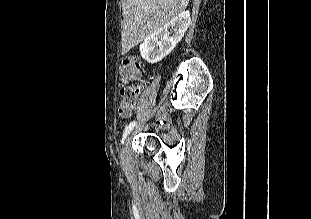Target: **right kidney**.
Returning a JSON list of instances; mask_svg holds the SVG:
<instances>
[{"label": "right kidney", "mask_w": 311, "mask_h": 219, "mask_svg": "<svg viewBox=\"0 0 311 219\" xmlns=\"http://www.w3.org/2000/svg\"><path fill=\"white\" fill-rule=\"evenodd\" d=\"M190 21V12L183 11L162 28L146 37L143 44L140 45L142 58L150 64L161 61L182 39ZM169 28L173 30L172 36H169Z\"/></svg>", "instance_id": "obj_1"}]
</instances>
